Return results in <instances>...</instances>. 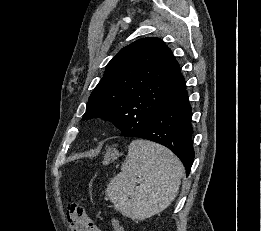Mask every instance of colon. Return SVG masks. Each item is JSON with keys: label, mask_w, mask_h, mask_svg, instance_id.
<instances>
[{"label": "colon", "mask_w": 261, "mask_h": 231, "mask_svg": "<svg viewBox=\"0 0 261 231\" xmlns=\"http://www.w3.org/2000/svg\"><path fill=\"white\" fill-rule=\"evenodd\" d=\"M66 217L69 223L80 226L82 231H91L93 229V222L86 210L76 203H71L68 206ZM112 225L114 231H124L123 226L116 218L113 219Z\"/></svg>", "instance_id": "5ec220e1"}]
</instances>
